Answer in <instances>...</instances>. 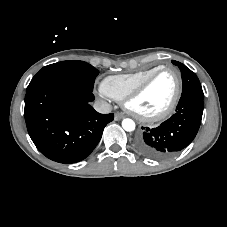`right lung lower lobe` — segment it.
Instances as JSON below:
<instances>
[{
  "label": "right lung lower lobe",
  "mask_w": 227,
  "mask_h": 227,
  "mask_svg": "<svg viewBox=\"0 0 227 227\" xmlns=\"http://www.w3.org/2000/svg\"><path fill=\"white\" fill-rule=\"evenodd\" d=\"M92 91L62 79L29 84L24 116L37 149L59 163L85 159L99 143L113 114H100L90 105Z\"/></svg>",
  "instance_id": "obj_1"
}]
</instances>
